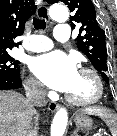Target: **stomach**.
Wrapping results in <instances>:
<instances>
[{
  "label": "stomach",
  "mask_w": 117,
  "mask_h": 136,
  "mask_svg": "<svg viewBox=\"0 0 117 136\" xmlns=\"http://www.w3.org/2000/svg\"><path fill=\"white\" fill-rule=\"evenodd\" d=\"M74 121L76 126L80 129L90 130L92 127V120L85 115H76Z\"/></svg>",
  "instance_id": "obj_1"
}]
</instances>
